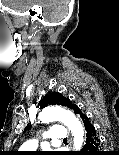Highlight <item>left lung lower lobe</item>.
I'll return each instance as SVG.
<instances>
[{
	"label": "left lung lower lobe",
	"instance_id": "obj_1",
	"mask_svg": "<svg viewBox=\"0 0 119 155\" xmlns=\"http://www.w3.org/2000/svg\"><path fill=\"white\" fill-rule=\"evenodd\" d=\"M74 112L78 114L84 124L85 129V145L82 151L75 155H101L99 151L100 140L96 134L95 127L89 121V118L81 112L78 106L74 107Z\"/></svg>",
	"mask_w": 119,
	"mask_h": 155
}]
</instances>
